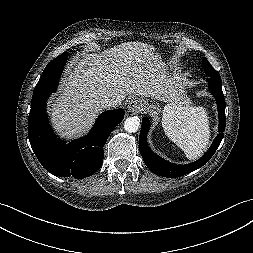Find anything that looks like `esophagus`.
I'll use <instances>...</instances> for the list:
<instances>
[{"label": "esophagus", "instance_id": "34e87169", "mask_svg": "<svg viewBox=\"0 0 253 253\" xmlns=\"http://www.w3.org/2000/svg\"><path fill=\"white\" fill-rule=\"evenodd\" d=\"M128 112L136 113L143 110V105L136 99H133L128 104Z\"/></svg>", "mask_w": 253, "mask_h": 253}]
</instances>
